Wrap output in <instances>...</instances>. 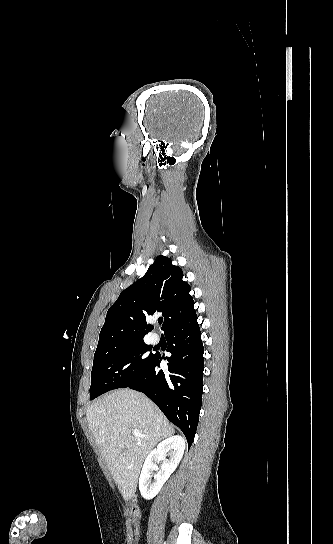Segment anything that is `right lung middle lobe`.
I'll use <instances>...</instances> for the list:
<instances>
[{"mask_svg": "<svg viewBox=\"0 0 333 544\" xmlns=\"http://www.w3.org/2000/svg\"><path fill=\"white\" fill-rule=\"evenodd\" d=\"M150 350L143 338L99 342L91 372L90 400L139 380L155 357L147 353Z\"/></svg>", "mask_w": 333, "mask_h": 544, "instance_id": "obj_1", "label": "right lung middle lobe"}]
</instances>
